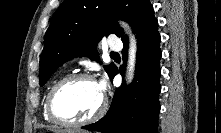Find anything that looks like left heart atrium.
I'll return each instance as SVG.
<instances>
[{
  "label": "left heart atrium",
  "mask_w": 221,
  "mask_h": 133,
  "mask_svg": "<svg viewBox=\"0 0 221 133\" xmlns=\"http://www.w3.org/2000/svg\"><path fill=\"white\" fill-rule=\"evenodd\" d=\"M96 84H97V87H98L99 91L103 95L105 90H106V81H105V79L99 80Z\"/></svg>",
  "instance_id": "39dd6f15"
}]
</instances>
